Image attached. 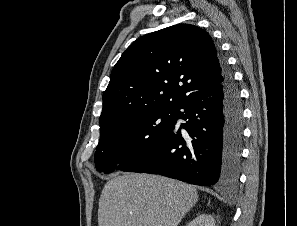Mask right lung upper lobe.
<instances>
[{"instance_id": "right-lung-upper-lobe-1", "label": "right lung upper lobe", "mask_w": 297, "mask_h": 226, "mask_svg": "<svg viewBox=\"0 0 297 226\" xmlns=\"http://www.w3.org/2000/svg\"><path fill=\"white\" fill-rule=\"evenodd\" d=\"M221 59L210 35L190 24L137 39L114 66L103 93L101 130L149 111H178L187 98L222 82Z\"/></svg>"}]
</instances>
